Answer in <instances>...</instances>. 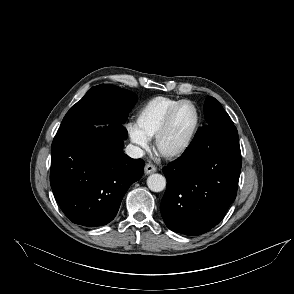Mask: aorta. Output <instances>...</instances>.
I'll use <instances>...</instances> for the list:
<instances>
[{
  "label": "aorta",
  "instance_id": "aorta-1",
  "mask_svg": "<svg viewBox=\"0 0 294 294\" xmlns=\"http://www.w3.org/2000/svg\"><path fill=\"white\" fill-rule=\"evenodd\" d=\"M147 186L153 192H161L166 187V179L161 174H152L147 178Z\"/></svg>",
  "mask_w": 294,
  "mask_h": 294
}]
</instances>
